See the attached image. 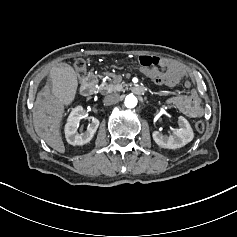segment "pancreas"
Listing matches in <instances>:
<instances>
[{"label":"pancreas","mask_w":237,"mask_h":237,"mask_svg":"<svg viewBox=\"0 0 237 237\" xmlns=\"http://www.w3.org/2000/svg\"><path fill=\"white\" fill-rule=\"evenodd\" d=\"M114 87L115 85L113 83H110V84H105L103 87L101 86L100 87V92L101 93H111V92H114Z\"/></svg>","instance_id":"pancreas-1"}]
</instances>
